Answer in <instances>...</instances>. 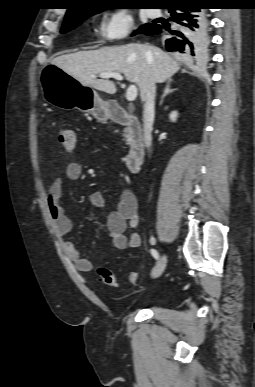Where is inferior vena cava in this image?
Here are the masks:
<instances>
[{
  "label": "inferior vena cava",
  "instance_id": "inferior-vena-cava-1",
  "mask_svg": "<svg viewBox=\"0 0 255 387\" xmlns=\"http://www.w3.org/2000/svg\"><path fill=\"white\" fill-rule=\"evenodd\" d=\"M155 95L156 82L151 79L144 91L141 93V99L144 101L143 122H144V141L147 148L152 143V126L155 115Z\"/></svg>",
  "mask_w": 255,
  "mask_h": 387
}]
</instances>
